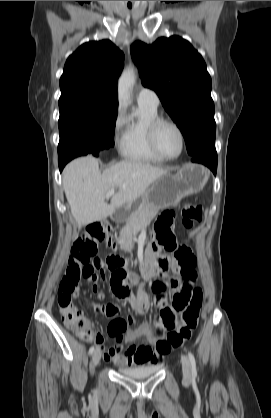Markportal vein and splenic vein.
I'll list each match as a JSON object with an SVG mask.
<instances>
[{
    "instance_id": "18ae733b",
    "label": "portal vein and splenic vein",
    "mask_w": 271,
    "mask_h": 418,
    "mask_svg": "<svg viewBox=\"0 0 271 418\" xmlns=\"http://www.w3.org/2000/svg\"><path fill=\"white\" fill-rule=\"evenodd\" d=\"M114 193H115V189H114V188H113V189H110V190H108V191H107V193H106V197H110V196H112Z\"/></svg>"
}]
</instances>
